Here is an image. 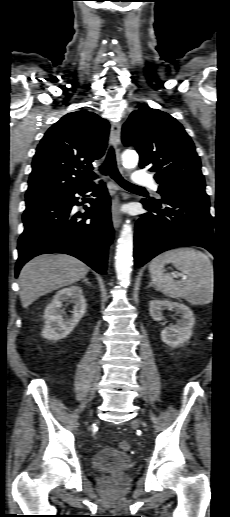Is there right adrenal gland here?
<instances>
[{"label": "right adrenal gland", "mask_w": 230, "mask_h": 517, "mask_svg": "<svg viewBox=\"0 0 230 517\" xmlns=\"http://www.w3.org/2000/svg\"><path fill=\"white\" fill-rule=\"evenodd\" d=\"M83 282L87 283V284H90V282L88 281V278H84L83 279Z\"/></svg>", "instance_id": "2a0ac1e0"}]
</instances>
